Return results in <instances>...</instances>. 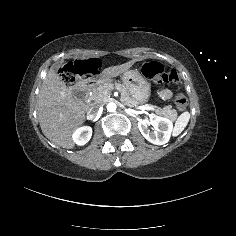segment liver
I'll return each mask as SVG.
<instances>
[{
	"mask_svg": "<svg viewBox=\"0 0 236 236\" xmlns=\"http://www.w3.org/2000/svg\"><path fill=\"white\" fill-rule=\"evenodd\" d=\"M142 59L136 58L121 65L105 68L101 77H117ZM37 115L42 132L49 140L66 149L75 146L72 134L84 123L85 112L82 102L73 98L71 90L56 74L53 66L43 80L39 92Z\"/></svg>",
	"mask_w": 236,
	"mask_h": 236,
	"instance_id": "6515ba94",
	"label": "liver"
}]
</instances>
